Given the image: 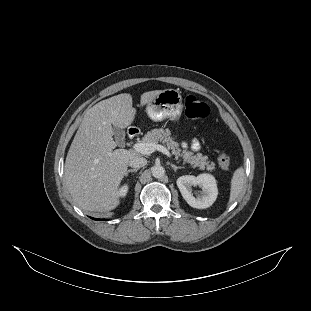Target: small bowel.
I'll return each instance as SVG.
<instances>
[{"mask_svg": "<svg viewBox=\"0 0 311 311\" xmlns=\"http://www.w3.org/2000/svg\"><path fill=\"white\" fill-rule=\"evenodd\" d=\"M186 145L184 144L183 147H185ZM191 148L194 151H197L199 149V143L197 140L192 141L191 143Z\"/></svg>", "mask_w": 311, "mask_h": 311, "instance_id": "c3829d8e", "label": "small bowel"}]
</instances>
